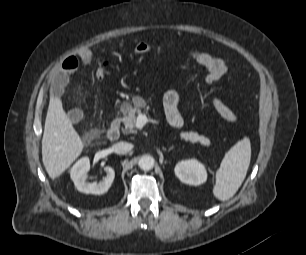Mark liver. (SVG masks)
<instances>
[{
	"instance_id": "1",
	"label": "liver",
	"mask_w": 306,
	"mask_h": 255,
	"mask_svg": "<svg viewBox=\"0 0 306 255\" xmlns=\"http://www.w3.org/2000/svg\"><path fill=\"white\" fill-rule=\"evenodd\" d=\"M83 148V142L65 113L62 101L52 96L42 138V161L49 177H59L79 157Z\"/></svg>"
}]
</instances>
